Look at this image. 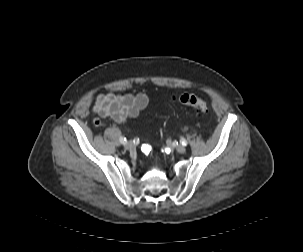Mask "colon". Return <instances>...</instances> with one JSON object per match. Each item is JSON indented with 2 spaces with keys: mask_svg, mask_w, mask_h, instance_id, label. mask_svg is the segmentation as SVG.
<instances>
[{
  "mask_svg": "<svg viewBox=\"0 0 303 252\" xmlns=\"http://www.w3.org/2000/svg\"><path fill=\"white\" fill-rule=\"evenodd\" d=\"M174 102L190 106L194 108L198 113H207L209 111L208 103L191 93H184L180 95H175L172 97Z\"/></svg>",
  "mask_w": 303,
  "mask_h": 252,
  "instance_id": "5ec220e1",
  "label": "colon"
}]
</instances>
